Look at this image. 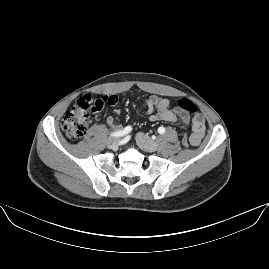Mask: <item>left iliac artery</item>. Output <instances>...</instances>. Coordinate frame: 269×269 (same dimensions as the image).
<instances>
[{
    "label": "left iliac artery",
    "mask_w": 269,
    "mask_h": 269,
    "mask_svg": "<svg viewBox=\"0 0 269 269\" xmlns=\"http://www.w3.org/2000/svg\"><path fill=\"white\" fill-rule=\"evenodd\" d=\"M158 132L160 133V134H163V133H165V128L164 127H159L158 128Z\"/></svg>",
    "instance_id": "left-iliac-artery-1"
}]
</instances>
